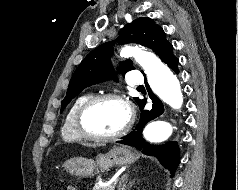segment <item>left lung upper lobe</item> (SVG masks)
Returning <instances> with one entry per match:
<instances>
[{"label": "left lung upper lobe", "instance_id": "5c2ea615", "mask_svg": "<svg viewBox=\"0 0 238 190\" xmlns=\"http://www.w3.org/2000/svg\"><path fill=\"white\" fill-rule=\"evenodd\" d=\"M116 39L119 44L138 43L152 49L161 60L168 56L173 49L166 38L163 29L155 24L153 19L141 17L133 21L119 32ZM112 43H104L90 52L74 72L66 96L61 104V111L84 88L111 78L114 70L111 65ZM134 69L131 60L120 63L119 71L123 75ZM139 103L141 100L135 98Z\"/></svg>", "mask_w": 238, "mask_h": 190}]
</instances>
